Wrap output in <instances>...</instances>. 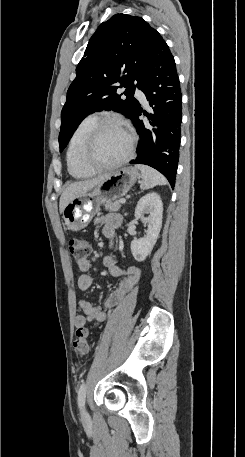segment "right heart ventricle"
Segmentation results:
<instances>
[{"label":"right heart ventricle","instance_id":"right-heart-ventricle-1","mask_svg":"<svg viewBox=\"0 0 245 457\" xmlns=\"http://www.w3.org/2000/svg\"><path fill=\"white\" fill-rule=\"evenodd\" d=\"M97 121L98 119L95 116L86 117L79 123L70 138L67 150V165L70 174L74 178L82 179L90 175L88 171L80 166L78 155L86 141L89 131Z\"/></svg>","mask_w":245,"mask_h":457}]
</instances>
